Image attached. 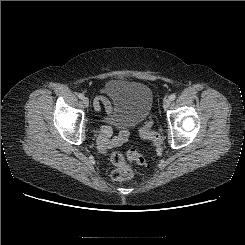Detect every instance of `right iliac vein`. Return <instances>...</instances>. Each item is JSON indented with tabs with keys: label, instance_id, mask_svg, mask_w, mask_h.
Segmentation results:
<instances>
[{
	"label": "right iliac vein",
	"instance_id": "right-iliac-vein-1",
	"mask_svg": "<svg viewBox=\"0 0 245 245\" xmlns=\"http://www.w3.org/2000/svg\"><path fill=\"white\" fill-rule=\"evenodd\" d=\"M83 103H84V105L86 106V107H88L89 106V99L87 98V97H83Z\"/></svg>",
	"mask_w": 245,
	"mask_h": 245
}]
</instances>
